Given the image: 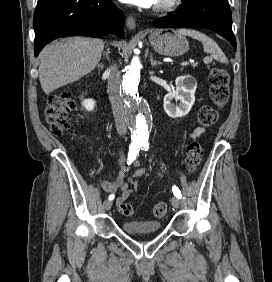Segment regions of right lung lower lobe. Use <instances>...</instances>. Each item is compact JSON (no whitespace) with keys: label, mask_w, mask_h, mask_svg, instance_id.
<instances>
[{"label":"right lung lower lobe","mask_w":272,"mask_h":282,"mask_svg":"<svg viewBox=\"0 0 272 282\" xmlns=\"http://www.w3.org/2000/svg\"><path fill=\"white\" fill-rule=\"evenodd\" d=\"M33 26L35 56L60 37H102L114 32L124 38V15L111 0H38Z\"/></svg>","instance_id":"98d812e1"}]
</instances>
